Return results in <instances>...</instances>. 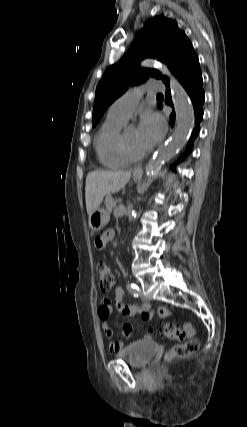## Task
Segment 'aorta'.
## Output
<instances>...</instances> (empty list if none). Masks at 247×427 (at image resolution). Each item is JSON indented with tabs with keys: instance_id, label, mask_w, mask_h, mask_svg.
Segmentation results:
<instances>
[{
	"instance_id": "aorta-1",
	"label": "aorta",
	"mask_w": 247,
	"mask_h": 427,
	"mask_svg": "<svg viewBox=\"0 0 247 427\" xmlns=\"http://www.w3.org/2000/svg\"><path fill=\"white\" fill-rule=\"evenodd\" d=\"M145 66H152L150 60L144 61ZM158 66V65H157ZM163 74L170 77V88L176 112L177 127L169 139L168 143L158 149L151 163L148 164V171L156 172L169 159L174 157L185 145L194 127V109L184 88L173 77L165 66H160Z\"/></svg>"
}]
</instances>
